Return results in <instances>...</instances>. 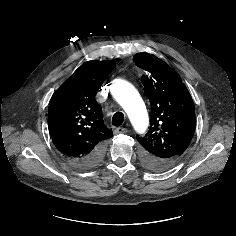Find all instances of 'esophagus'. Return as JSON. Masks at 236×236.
<instances>
[{"instance_id": "obj_1", "label": "esophagus", "mask_w": 236, "mask_h": 236, "mask_svg": "<svg viewBox=\"0 0 236 236\" xmlns=\"http://www.w3.org/2000/svg\"><path fill=\"white\" fill-rule=\"evenodd\" d=\"M127 132V129L126 128H123V127H118L114 130V133L115 134H124Z\"/></svg>"}]
</instances>
